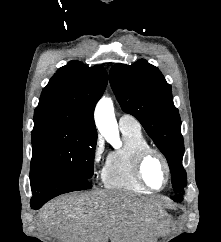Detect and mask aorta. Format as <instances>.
<instances>
[{
	"instance_id": "aorta-1",
	"label": "aorta",
	"mask_w": 221,
	"mask_h": 242,
	"mask_svg": "<svg viewBox=\"0 0 221 242\" xmlns=\"http://www.w3.org/2000/svg\"><path fill=\"white\" fill-rule=\"evenodd\" d=\"M95 122L104 137L111 138L118 135L113 102L110 98L104 97L98 102L95 109Z\"/></svg>"
}]
</instances>
